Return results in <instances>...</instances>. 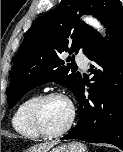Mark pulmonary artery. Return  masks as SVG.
<instances>
[{
    "label": "pulmonary artery",
    "mask_w": 123,
    "mask_h": 152,
    "mask_svg": "<svg viewBox=\"0 0 123 152\" xmlns=\"http://www.w3.org/2000/svg\"><path fill=\"white\" fill-rule=\"evenodd\" d=\"M76 62L80 65V67L82 69H86L87 68V59L84 56H77L76 57Z\"/></svg>",
    "instance_id": "obj_1"
}]
</instances>
